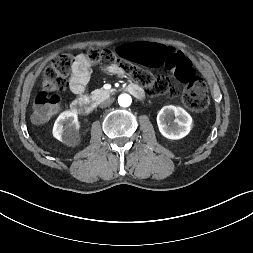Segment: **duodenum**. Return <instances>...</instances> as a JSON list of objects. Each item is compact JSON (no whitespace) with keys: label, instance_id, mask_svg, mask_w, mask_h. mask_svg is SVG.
<instances>
[{"label":"duodenum","instance_id":"410a0bca","mask_svg":"<svg viewBox=\"0 0 253 253\" xmlns=\"http://www.w3.org/2000/svg\"><path fill=\"white\" fill-rule=\"evenodd\" d=\"M124 89L136 98L143 97L142 89L136 84H128L124 87ZM112 94L113 91L103 92L93 96H81L72 102L71 108L80 115H89L96 109L102 99H105Z\"/></svg>","mask_w":253,"mask_h":253}]
</instances>
